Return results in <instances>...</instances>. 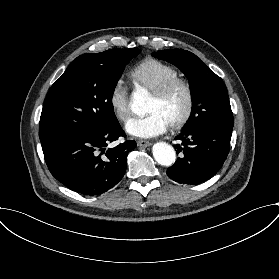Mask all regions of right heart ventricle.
Masks as SVG:
<instances>
[{"mask_svg": "<svg viewBox=\"0 0 279 279\" xmlns=\"http://www.w3.org/2000/svg\"><path fill=\"white\" fill-rule=\"evenodd\" d=\"M131 76L139 85L153 92L167 80L179 77L180 72L169 63L148 58L133 68Z\"/></svg>", "mask_w": 279, "mask_h": 279, "instance_id": "right-heart-ventricle-1", "label": "right heart ventricle"}]
</instances>
